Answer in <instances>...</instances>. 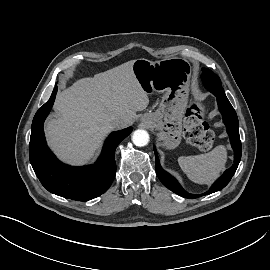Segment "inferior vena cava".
<instances>
[{
    "label": "inferior vena cava",
    "instance_id": "inferior-vena-cava-1",
    "mask_svg": "<svg viewBox=\"0 0 270 270\" xmlns=\"http://www.w3.org/2000/svg\"><path fill=\"white\" fill-rule=\"evenodd\" d=\"M111 126L113 128H120L124 126V120L122 118H113L111 120Z\"/></svg>",
    "mask_w": 270,
    "mask_h": 270
}]
</instances>
